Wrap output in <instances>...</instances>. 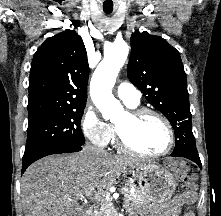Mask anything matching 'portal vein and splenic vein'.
<instances>
[{
  "instance_id": "1",
  "label": "portal vein and splenic vein",
  "mask_w": 221,
  "mask_h": 216,
  "mask_svg": "<svg viewBox=\"0 0 221 216\" xmlns=\"http://www.w3.org/2000/svg\"><path fill=\"white\" fill-rule=\"evenodd\" d=\"M121 192L122 193H125V192L133 193V191H130L127 187H123L121 189ZM91 196H93L94 199L101 201L102 199L108 198L109 193L106 191H103V190L95 191V190L91 189V190H88L85 194H81L80 199H83L85 197H91Z\"/></svg>"
}]
</instances>
